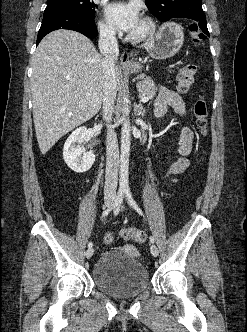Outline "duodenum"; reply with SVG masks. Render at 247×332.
<instances>
[{
    "label": "duodenum",
    "mask_w": 247,
    "mask_h": 332,
    "mask_svg": "<svg viewBox=\"0 0 247 332\" xmlns=\"http://www.w3.org/2000/svg\"><path fill=\"white\" fill-rule=\"evenodd\" d=\"M141 142H142V143L144 142V138L141 140Z\"/></svg>",
    "instance_id": "duodenum-1"
}]
</instances>
